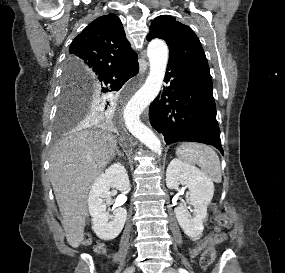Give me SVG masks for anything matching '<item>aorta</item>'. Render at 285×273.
Returning <instances> with one entry per match:
<instances>
[{"instance_id": "obj_1", "label": "aorta", "mask_w": 285, "mask_h": 273, "mask_svg": "<svg viewBox=\"0 0 285 273\" xmlns=\"http://www.w3.org/2000/svg\"><path fill=\"white\" fill-rule=\"evenodd\" d=\"M147 55L150 63L149 75L143 86L128 102L124 118L129 131L154 153L160 155L162 153L160 140L140 121L139 116L160 92L168 63V47L163 40L154 39L148 44Z\"/></svg>"}]
</instances>
